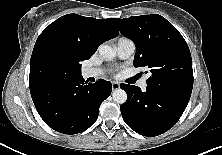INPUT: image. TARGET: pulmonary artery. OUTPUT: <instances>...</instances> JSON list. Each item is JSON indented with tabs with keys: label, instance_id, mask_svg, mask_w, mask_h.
I'll use <instances>...</instances> for the list:
<instances>
[{
	"label": "pulmonary artery",
	"instance_id": "obj_1",
	"mask_svg": "<svg viewBox=\"0 0 222 155\" xmlns=\"http://www.w3.org/2000/svg\"><path fill=\"white\" fill-rule=\"evenodd\" d=\"M117 54L121 59H127L132 56L135 52L136 46L135 43L127 38H121L117 43ZM101 74L100 69L96 68H86L83 70L82 75L84 78L97 77ZM146 79L143 78L139 82L140 88L144 89L146 87Z\"/></svg>",
	"mask_w": 222,
	"mask_h": 155
}]
</instances>
